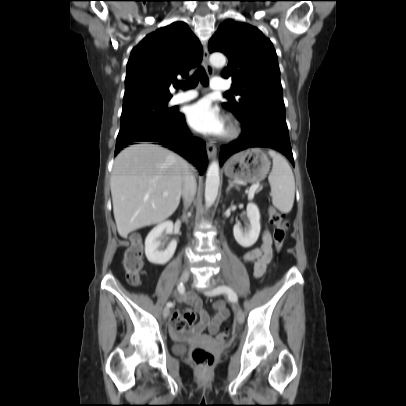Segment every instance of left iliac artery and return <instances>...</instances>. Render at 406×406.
Returning <instances> with one entry per match:
<instances>
[{
	"instance_id": "44dca946",
	"label": "left iliac artery",
	"mask_w": 406,
	"mask_h": 406,
	"mask_svg": "<svg viewBox=\"0 0 406 406\" xmlns=\"http://www.w3.org/2000/svg\"><path fill=\"white\" fill-rule=\"evenodd\" d=\"M219 294H226L231 301L237 300L236 293L228 286L222 285L218 286L217 288L213 289L211 292H208V295H219Z\"/></svg>"
}]
</instances>
